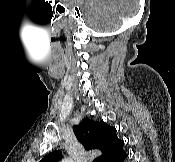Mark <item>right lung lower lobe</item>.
Listing matches in <instances>:
<instances>
[{
    "label": "right lung lower lobe",
    "mask_w": 175,
    "mask_h": 162,
    "mask_svg": "<svg viewBox=\"0 0 175 162\" xmlns=\"http://www.w3.org/2000/svg\"><path fill=\"white\" fill-rule=\"evenodd\" d=\"M127 157V154L122 150L116 156H114L109 162H123Z\"/></svg>",
    "instance_id": "98d812e1"
}]
</instances>
